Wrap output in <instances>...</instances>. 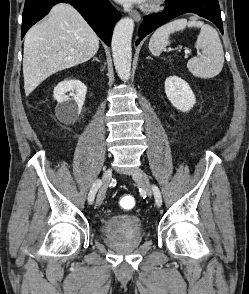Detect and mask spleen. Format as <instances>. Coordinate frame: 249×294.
<instances>
[{
  "mask_svg": "<svg viewBox=\"0 0 249 294\" xmlns=\"http://www.w3.org/2000/svg\"><path fill=\"white\" fill-rule=\"evenodd\" d=\"M186 27L200 28L196 47L202 49V55L191 58L187 63L188 70L203 79L217 76L224 64V51L217 31L210 25L195 18L189 21L184 18L175 19L159 27L149 41V50L154 56H160L163 49L170 43L171 33L183 31Z\"/></svg>",
  "mask_w": 249,
  "mask_h": 294,
  "instance_id": "spleen-1",
  "label": "spleen"
}]
</instances>
